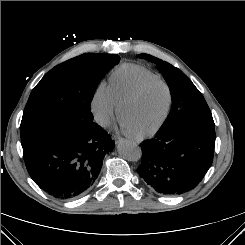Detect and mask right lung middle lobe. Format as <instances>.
<instances>
[{
	"label": "right lung middle lobe",
	"instance_id": "obj_1",
	"mask_svg": "<svg viewBox=\"0 0 245 245\" xmlns=\"http://www.w3.org/2000/svg\"><path fill=\"white\" fill-rule=\"evenodd\" d=\"M116 54L85 53L51 69L32 90L20 125L22 147L66 127L93 121L91 101Z\"/></svg>",
	"mask_w": 245,
	"mask_h": 245
}]
</instances>
